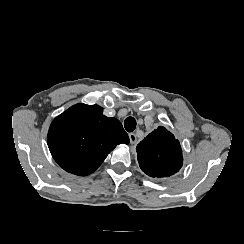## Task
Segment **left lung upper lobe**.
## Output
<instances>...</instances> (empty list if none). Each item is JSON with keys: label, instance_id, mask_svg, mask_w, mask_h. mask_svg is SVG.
I'll return each mask as SVG.
<instances>
[{"label": "left lung upper lobe", "instance_id": "left-lung-upper-lobe-1", "mask_svg": "<svg viewBox=\"0 0 244 244\" xmlns=\"http://www.w3.org/2000/svg\"><path fill=\"white\" fill-rule=\"evenodd\" d=\"M136 151L140 168L153 178L169 177L183 164L179 141L162 126L147 135L137 145Z\"/></svg>", "mask_w": 244, "mask_h": 244}]
</instances>
